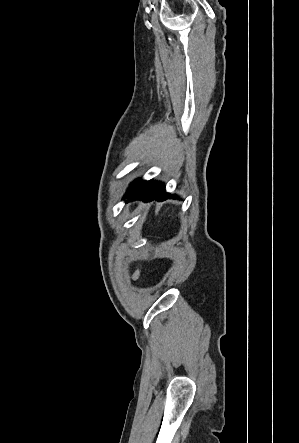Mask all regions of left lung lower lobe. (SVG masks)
<instances>
[{"instance_id": "obj_1", "label": "left lung lower lobe", "mask_w": 299, "mask_h": 443, "mask_svg": "<svg viewBox=\"0 0 299 443\" xmlns=\"http://www.w3.org/2000/svg\"><path fill=\"white\" fill-rule=\"evenodd\" d=\"M124 197L129 200H143L144 202L157 199L159 201L165 200L167 198L175 197V195H170L165 191V185L162 182H156L153 180L144 181L137 179L131 183L130 188Z\"/></svg>"}]
</instances>
